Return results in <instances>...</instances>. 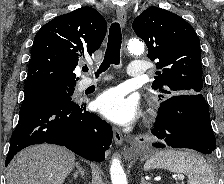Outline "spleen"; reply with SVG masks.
Listing matches in <instances>:
<instances>
[{"label":"spleen","instance_id":"1","mask_svg":"<svg viewBox=\"0 0 224 184\" xmlns=\"http://www.w3.org/2000/svg\"><path fill=\"white\" fill-rule=\"evenodd\" d=\"M163 168L171 172L183 173L188 184H215L214 174L207 161L193 151H160L148 159L144 169Z\"/></svg>","mask_w":224,"mask_h":184}]
</instances>
